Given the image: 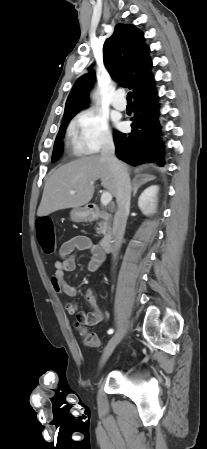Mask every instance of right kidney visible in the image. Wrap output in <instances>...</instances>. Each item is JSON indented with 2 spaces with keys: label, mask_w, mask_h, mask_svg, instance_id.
<instances>
[{
  "label": "right kidney",
  "mask_w": 207,
  "mask_h": 449,
  "mask_svg": "<svg viewBox=\"0 0 207 449\" xmlns=\"http://www.w3.org/2000/svg\"><path fill=\"white\" fill-rule=\"evenodd\" d=\"M158 189V186L153 185L145 189L140 195L138 206L145 215L155 212Z\"/></svg>",
  "instance_id": "right-kidney-1"
}]
</instances>
